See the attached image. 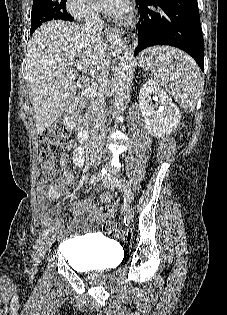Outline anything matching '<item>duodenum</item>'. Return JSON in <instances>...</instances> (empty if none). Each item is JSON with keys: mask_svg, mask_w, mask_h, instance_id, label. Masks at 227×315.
Masks as SVG:
<instances>
[{"mask_svg": "<svg viewBox=\"0 0 227 315\" xmlns=\"http://www.w3.org/2000/svg\"><path fill=\"white\" fill-rule=\"evenodd\" d=\"M66 124L71 128H76V107L72 108L65 116ZM78 136L80 142L84 145L90 144V133L87 130L79 129Z\"/></svg>", "mask_w": 227, "mask_h": 315, "instance_id": "410a0bca", "label": "duodenum"}]
</instances>
